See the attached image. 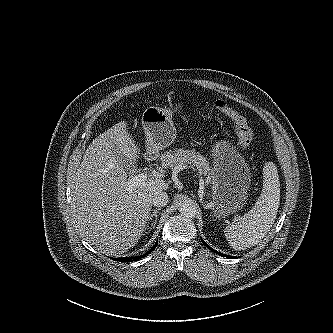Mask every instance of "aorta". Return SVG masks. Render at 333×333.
Returning <instances> with one entry per match:
<instances>
[{"instance_id":"762f6f07","label":"aorta","mask_w":333,"mask_h":333,"mask_svg":"<svg viewBox=\"0 0 333 333\" xmlns=\"http://www.w3.org/2000/svg\"><path fill=\"white\" fill-rule=\"evenodd\" d=\"M179 211L183 217L192 219L197 215V206L194 203L185 202L180 206Z\"/></svg>"}]
</instances>
